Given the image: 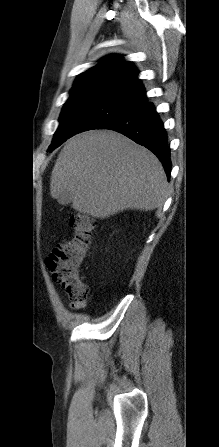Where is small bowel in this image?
<instances>
[{"label":"small bowel","mask_w":219,"mask_h":447,"mask_svg":"<svg viewBox=\"0 0 219 447\" xmlns=\"http://www.w3.org/2000/svg\"><path fill=\"white\" fill-rule=\"evenodd\" d=\"M86 307V302H71L70 308L72 310H82Z\"/></svg>","instance_id":"c3829d8e"}]
</instances>
